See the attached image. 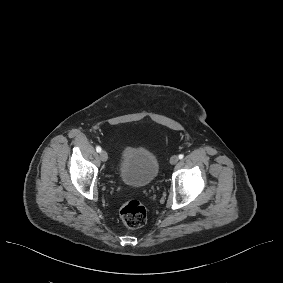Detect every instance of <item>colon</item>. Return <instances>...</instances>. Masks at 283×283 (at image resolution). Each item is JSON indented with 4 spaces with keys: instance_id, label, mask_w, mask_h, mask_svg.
Wrapping results in <instances>:
<instances>
[{
    "instance_id": "1",
    "label": "colon",
    "mask_w": 283,
    "mask_h": 283,
    "mask_svg": "<svg viewBox=\"0 0 283 283\" xmlns=\"http://www.w3.org/2000/svg\"><path fill=\"white\" fill-rule=\"evenodd\" d=\"M120 218L126 227L131 229L140 228L147 221L146 207L138 200H127L120 208Z\"/></svg>"
}]
</instances>
